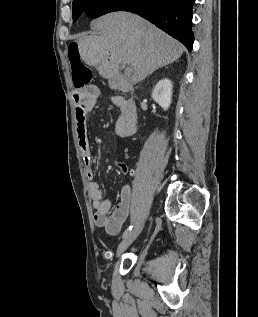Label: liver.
Segmentation results:
<instances>
[{
	"mask_svg": "<svg viewBox=\"0 0 258 317\" xmlns=\"http://www.w3.org/2000/svg\"><path fill=\"white\" fill-rule=\"evenodd\" d=\"M90 26L97 34L78 38L80 58L97 66L109 82L121 76L119 64H131V82H140L156 68L177 60L184 50L178 40L132 12H109Z\"/></svg>",
	"mask_w": 258,
	"mask_h": 317,
	"instance_id": "liver-1",
	"label": "liver"
}]
</instances>
